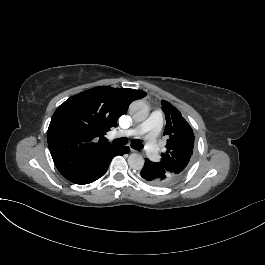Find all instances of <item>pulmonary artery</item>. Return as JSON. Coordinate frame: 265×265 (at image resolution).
I'll return each instance as SVG.
<instances>
[{
	"mask_svg": "<svg viewBox=\"0 0 265 265\" xmlns=\"http://www.w3.org/2000/svg\"><path fill=\"white\" fill-rule=\"evenodd\" d=\"M163 114L160 110L155 109L150 114V119L143 123L141 127L132 126L130 129L126 128L123 131L117 130L115 132V137L117 139H124L129 141L134 135L141 136L142 134L147 135L142 143V151L149 152V159L155 161L156 163H161L163 161L162 153L158 150L156 146H153V139L156 135L161 133V128L159 127L162 122Z\"/></svg>",
	"mask_w": 265,
	"mask_h": 265,
	"instance_id": "pulmonary-artery-1",
	"label": "pulmonary artery"
}]
</instances>
